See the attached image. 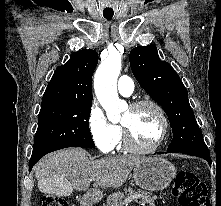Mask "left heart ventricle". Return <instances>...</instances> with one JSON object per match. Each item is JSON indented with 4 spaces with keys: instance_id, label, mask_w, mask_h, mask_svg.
I'll return each instance as SVG.
<instances>
[{
    "instance_id": "b2bd125f",
    "label": "left heart ventricle",
    "mask_w": 221,
    "mask_h": 206,
    "mask_svg": "<svg viewBox=\"0 0 221 206\" xmlns=\"http://www.w3.org/2000/svg\"><path fill=\"white\" fill-rule=\"evenodd\" d=\"M121 124L130 131L135 144L143 148L150 147L156 142L162 126L159 115L151 106H142L135 110L128 108Z\"/></svg>"
}]
</instances>
